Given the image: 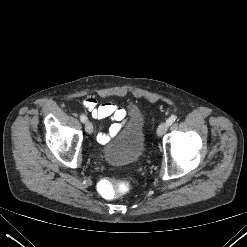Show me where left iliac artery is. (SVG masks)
I'll return each instance as SVG.
<instances>
[{
  "label": "left iliac artery",
  "instance_id": "obj_1",
  "mask_svg": "<svg viewBox=\"0 0 247 247\" xmlns=\"http://www.w3.org/2000/svg\"><path fill=\"white\" fill-rule=\"evenodd\" d=\"M175 120H176V116L171 115L167 120V124L170 126L173 122H175Z\"/></svg>",
  "mask_w": 247,
  "mask_h": 247
}]
</instances>
